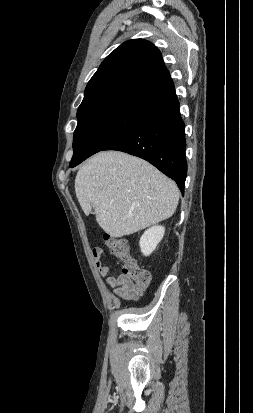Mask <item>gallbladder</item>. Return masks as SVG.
<instances>
[{"label": "gallbladder", "mask_w": 253, "mask_h": 413, "mask_svg": "<svg viewBox=\"0 0 253 413\" xmlns=\"http://www.w3.org/2000/svg\"><path fill=\"white\" fill-rule=\"evenodd\" d=\"M92 214L94 213V208H93V211L91 212Z\"/></svg>", "instance_id": "gallbladder-1"}]
</instances>
